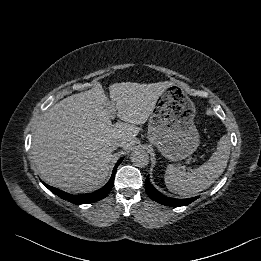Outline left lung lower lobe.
Returning <instances> with one entry per match:
<instances>
[{"mask_svg":"<svg viewBox=\"0 0 261 261\" xmlns=\"http://www.w3.org/2000/svg\"><path fill=\"white\" fill-rule=\"evenodd\" d=\"M145 190H146L147 195L152 200H154L160 204L167 205V206H185V205L192 203L193 201H195L198 198V196L188 198V199H174V198L167 197V196L161 194L151 185L148 177L145 181Z\"/></svg>","mask_w":261,"mask_h":261,"instance_id":"obj_1","label":"left lung lower lobe"}]
</instances>
